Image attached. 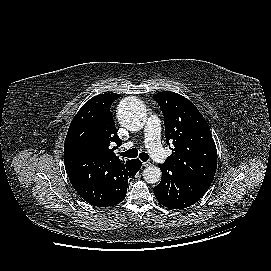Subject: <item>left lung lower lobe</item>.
Instances as JSON below:
<instances>
[{
    "label": "left lung lower lobe",
    "mask_w": 271,
    "mask_h": 271,
    "mask_svg": "<svg viewBox=\"0 0 271 271\" xmlns=\"http://www.w3.org/2000/svg\"><path fill=\"white\" fill-rule=\"evenodd\" d=\"M161 182L154 187L158 202L172 209H183L195 204L209 187L195 181L188 175L168 169L159 164Z\"/></svg>",
    "instance_id": "1"
}]
</instances>
